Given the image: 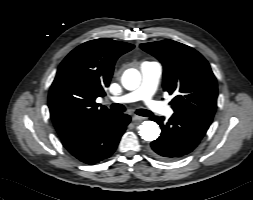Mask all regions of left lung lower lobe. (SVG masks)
I'll return each mask as SVG.
<instances>
[{"instance_id":"0a47b994","label":"left lung lower lobe","mask_w":253,"mask_h":200,"mask_svg":"<svg viewBox=\"0 0 253 200\" xmlns=\"http://www.w3.org/2000/svg\"><path fill=\"white\" fill-rule=\"evenodd\" d=\"M161 127L160 137L151 143V153L170 160L190 153L201 141L209 126L183 114L174 113L164 123L163 117L151 118Z\"/></svg>"}]
</instances>
